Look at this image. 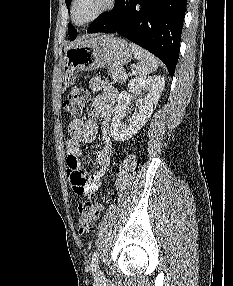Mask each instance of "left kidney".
<instances>
[{
    "label": "left kidney",
    "mask_w": 233,
    "mask_h": 286,
    "mask_svg": "<svg viewBox=\"0 0 233 286\" xmlns=\"http://www.w3.org/2000/svg\"><path fill=\"white\" fill-rule=\"evenodd\" d=\"M165 85L162 76L135 77L128 83V92H122L118 97L111 123V136L116 141H125L135 135L147 122L155 109ZM135 110L132 118L123 122L125 113L129 110V103L136 95Z\"/></svg>",
    "instance_id": "obj_1"
}]
</instances>
